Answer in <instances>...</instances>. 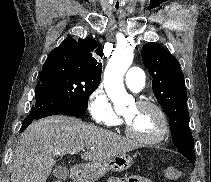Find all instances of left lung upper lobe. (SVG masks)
Returning <instances> with one entry per match:
<instances>
[{
    "label": "left lung upper lobe",
    "instance_id": "5c2ea615",
    "mask_svg": "<svg viewBox=\"0 0 211 182\" xmlns=\"http://www.w3.org/2000/svg\"><path fill=\"white\" fill-rule=\"evenodd\" d=\"M142 60L153 78L154 95L169 118L174 145L194 163V139L188 122L187 93L179 62L162 45L152 42L143 46Z\"/></svg>",
    "mask_w": 211,
    "mask_h": 182
}]
</instances>
